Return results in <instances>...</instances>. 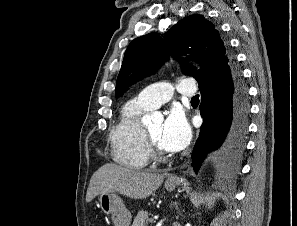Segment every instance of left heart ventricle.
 Returning <instances> with one entry per match:
<instances>
[{"mask_svg": "<svg viewBox=\"0 0 297 226\" xmlns=\"http://www.w3.org/2000/svg\"><path fill=\"white\" fill-rule=\"evenodd\" d=\"M162 127H163V125L161 123H158V124H155V125L147 128L150 136L156 142L157 145H159Z\"/></svg>", "mask_w": 297, "mask_h": 226, "instance_id": "obj_1", "label": "left heart ventricle"}]
</instances>
